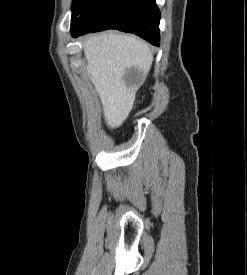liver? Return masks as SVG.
I'll list each match as a JSON object with an SVG mask.
<instances>
[{
	"mask_svg": "<svg viewBox=\"0 0 247 275\" xmlns=\"http://www.w3.org/2000/svg\"><path fill=\"white\" fill-rule=\"evenodd\" d=\"M87 72L100 97L107 126L118 128L128 117L140 84L128 85L123 76L134 67L145 80L153 55L144 41L129 35L102 33L83 41Z\"/></svg>",
	"mask_w": 247,
	"mask_h": 275,
	"instance_id": "1",
	"label": "liver"
}]
</instances>
